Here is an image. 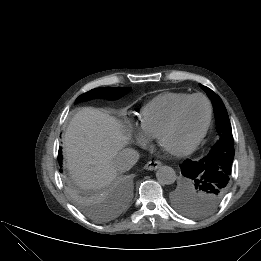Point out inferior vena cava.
<instances>
[{
    "instance_id": "602c4592",
    "label": "inferior vena cava",
    "mask_w": 261,
    "mask_h": 261,
    "mask_svg": "<svg viewBox=\"0 0 261 261\" xmlns=\"http://www.w3.org/2000/svg\"><path fill=\"white\" fill-rule=\"evenodd\" d=\"M139 153L132 148L123 149L115 157L113 165L118 172L130 170L138 161Z\"/></svg>"
}]
</instances>
